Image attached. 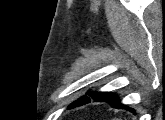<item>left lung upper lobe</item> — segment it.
Instances as JSON below:
<instances>
[{
  "label": "left lung upper lobe",
  "mask_w": 165,
  "mask_h": 120,
  "mask_svg": "<svg viewBox=\"0 0 165 120\" xmlns=\"http://www.w3.org/2000/svg\"><path fill=\"white\" fill-rule=\"evenodd\" d=\"M87 94H89L90 97H88ZM87 94L85 96H82L80 99L76 100L75 102H73L69 107H75V106L87 104L91 101V98L97 101H103L104 99L112 95L113 93H109V92H94L93 93V92L88 91Z\"/></svg>",
  "instance_id": "obj_1"
}]
</instances>
